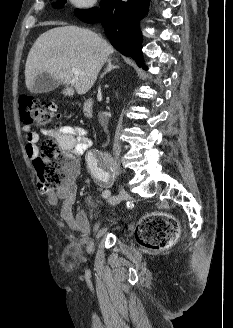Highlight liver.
<instances>
[{
	"mask_svg": "<svg viewBox=\"0 0 233 328\" xmlns=\"http://www.w3.org/2000/svg\"><path fill=\"white\" fill-rule=\"evenodd\" d=\"M113 52L109 43L89 29L76 26L50 29L37 38L28 54L26 86L30 89L35 77L44 72L66 85L64 95L72 96L74 89L85 94ZM72 68L81 69L83 74L75 75Z\"/></svg>",
	"mask_w": 233,
	"mask_h": 328,
	"instance_id": "obj_1",
	"label": "liver"
}]
</instances>
